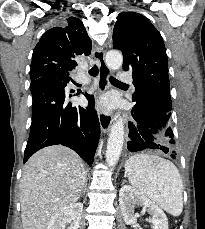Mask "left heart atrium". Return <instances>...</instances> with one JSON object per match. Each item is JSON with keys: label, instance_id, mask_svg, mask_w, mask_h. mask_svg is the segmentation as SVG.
I'll use <instances>...</instances> for the list:
<instances>
[{"label": "left heart atrium", "instance_id": "left-heart-atrium-1", "mask_svg": "<svg viewBox=\"0 0 205 229\" xmlns=\"http://www.w3.org/2000/svg\"><path fill=\"white\" fill-rule=\"evenodd\" d=\"M98 105H99V107H101L103 109L109 108L112 105V99L108 96L102 97L98 101Z\"/></svg>", "mask_w": 205, "mask_h": 229}]
</instances>
